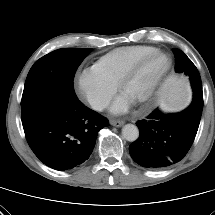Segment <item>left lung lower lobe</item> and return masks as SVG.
Wrapping results in <instances>:
<instances>
[{
  "label": "left lung lower lobe",
  "mask_w": 215,
  "mask_h": 215,
  "mask_svg": "<svg viewBox=\"0 0 215 215\" xmlns=\"http://www.w3.org/2000/svg\"><path fill=\"white\" fill-rule=\"evenodd\" d=\"M203 95L194 94L184 111L165 114L155 109L138 120L139 138L129 146L132 159L145 168H165L179 162L189 151L201 119Z\"/></svg>",
  "instance_id": "0a47b994"
}]
</instances>
